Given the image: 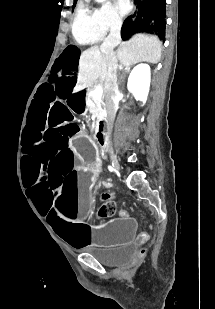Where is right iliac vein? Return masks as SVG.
I'll return each mask as SVG.
<instances>
[{"label":"right iliac vein","mask_w":215,"mask_h":309,"mask_svg":"<svg viewBox=\"0 0 215 309\" xmlns=\"http://www.w3.org/2000/svg\"><path fill=\"white\" fill-rule=\"evenodd\" d=\"M111 163H112V166L115 168V169H119V163H118V160L116 159V157L114 156H111Z\"/></svg>","instance_id":"obj_1"}]
</instances>
